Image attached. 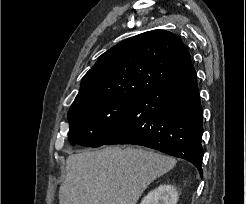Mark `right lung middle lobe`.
<instances>
[{"label": "right lung middle lobe", "instance_id": "obj_1", "mask_svg": "<svg viewBox=\"0 0 246 204\" xmlns=\"http://www.w3.org/2000/svg\"><path fill=\"white\" fill-rule=\"evenodd\" d=\"M139 95L105 96L72 105L68 112L70 144L104 145L122 126Z\"/></svg>", "mask_w": 246, "mask_h": 204}]
</instances>
